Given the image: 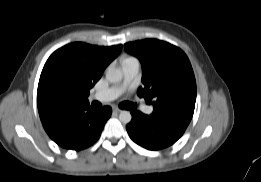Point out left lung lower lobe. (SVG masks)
Here are the masks:
<instances>
[{"mask_svg":"<svg viewBox=\"0 0 261 182\" xmlns=\"http://www.w3.org/2000/svg\"><path fill=\"white\" fill-rule=\"evenodd\" d=\"M132 120L126 126L130 138L138 145L159 150L175 143L184 133L187 125L160 120L140 111H131Z\"/></svg>","mask_w":261,"mask_h":182,"instance_id":"1","label":"left lung lower lobe"}]
</instances>
